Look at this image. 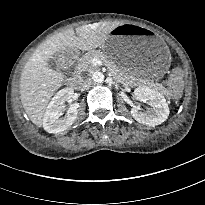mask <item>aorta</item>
I'll list each match as a JSON object with an SVG mask.
<instances>
[{
  "label": "aorta",
  "mask_w": 205,
  "mask_h": 205,
  "mask_svg": "<svg viewBox=\"0 0 205 205\" xmlns=\"http://www.w3.org/2000/svg\"><path fill=\"white\" fill-rule=\"evenodd\" d=\"M92 78H93L94 82L102 83L104 81V74L100 71H96V72H94Z\"/></svg>",
  "instance_id": "1"
}]
</instances>
